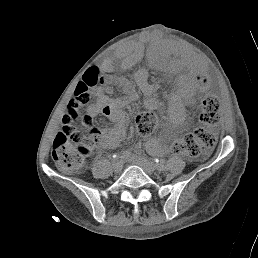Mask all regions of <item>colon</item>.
Wrapping results in <instances>:
<instances>
[{
	"mask_svg": "<svg viewBox=\"0 0 258 258\" xmlns=\"http://www.w3.org/2000/svg\"><path fill=\"white\" fill-rule=\"evenodd\" d=\"M100 78L99 69L92 67L87 70L63 117L62 127L52 147V158L63 172L73 173L82 169L88 153L100 145L102 131L94 128L89 118H82L80 115V108L89 102L90 88L96 86ZM219 108L220 102L216 97L206 96L201 112L204 126L176 139L172 143V150L176 154L197 158L203 154L204 148L212 147L216 142L215 128L219 122ZM156 124L157 117L153 112H143L137 116L136 128L142 135L150 134Z\"/></svg>",
	"mask_w": 258,
	"mask_h": 258,
	"instance_id": "colon-1",
	"label": "colon"
}]
</instances>
